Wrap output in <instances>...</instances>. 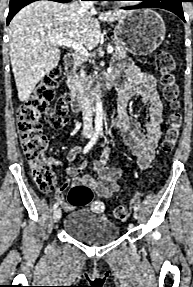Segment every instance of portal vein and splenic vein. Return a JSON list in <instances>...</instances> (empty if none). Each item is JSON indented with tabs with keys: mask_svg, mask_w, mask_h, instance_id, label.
<instances>
[{
	"mask_svg": "<svg viewBox=\"0 0 193 287\" xmlns=\"http://www.w3.org/2000/svg\"><path fill=\"white\" fill-rule=\"evenodd\" d=\"M50 41L54 42V43H56L57 45H60V46L63 45V46L70 47V48L78 51L83 56L89 57L88 51L81 44L77 43L73 39H68V38H51ZM107 52L109 54H111L113 52V47L109 46L108 49H107Z\"/></svg>",
	"mask_w": 193,
	"mask_h": 287,
	"instance_id": "portal-vein-and-splenic-vein-1",
	"label": "portal vein and splenic vein"
}]
</instances>
